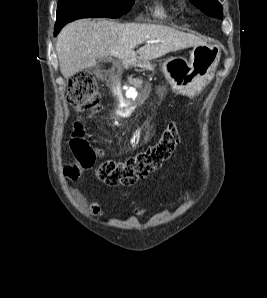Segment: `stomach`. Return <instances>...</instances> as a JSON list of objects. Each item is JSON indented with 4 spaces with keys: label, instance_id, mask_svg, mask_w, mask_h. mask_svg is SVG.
Listing matches in <instances>:
<instances>
[{
    "label": "stomach",
    "instance_id": "1",
    "mask_svg": "<svg viewBox=\"0 0 267 298\" xmlns=\"http://www.w3.org/2000/svg\"><path fill=\"white\" fill-rule=\"evenodd\" d=\"M221 49L217 43H206L194 46L190 59L170 58L165 61L161 70L176 94L194 96L199 93L213 78L220 60ZM132 64L148 68V61L135 58Z\"/></svg>",
    "mask_w": 267,
    "mask_h": 298
}]
</instances>
